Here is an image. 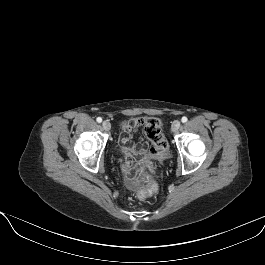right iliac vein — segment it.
Returning a JSON list of instances; mask_svg holds the SVG:
<instances>
[{
	"label": "right iliac vein",
	"mask_w": 265,
	"mask_h": 265,
	"mask_svg": "<svg viewBox=\"0 0 265 265\" xmlns=\"http://www.w3.org/2000/svg\"><path fill=\"white\" fill-rule=\"evenodd\" d=\"M102 126H103V128L106 130V131H109L110 129H111V124H110V122L109 121H103V123H102Z\"/></svg>",
	"instance_id": "1"
}]
</instances>
